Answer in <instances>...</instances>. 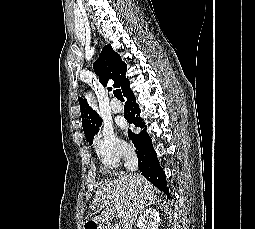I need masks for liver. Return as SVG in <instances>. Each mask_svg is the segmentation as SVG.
Here are the masks:
<instances>
[{
  "label": "liver",
  "mask_w": 255,
  "mask_h": 229,
  "mask_svg": "<svg viewBox=\"0 0 255 229\" xmlns=\"http://www.w3.org/2000/svg\"><path fill=\"white\" fill-rule=\"evenodd\" d=\"M116 178L101 182L91 205V210L101 212L92 221L108 223L114 216L116 204L124 211L122 229H132L137 214L157 200V189L141 174L115 173ZM118 175V176H117Z\"/></svg>",
  "instance_id": "6515ba94"
}]
</instances>
